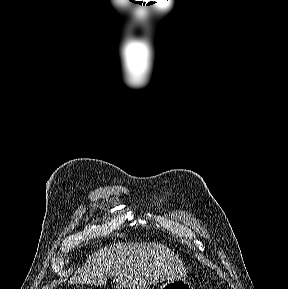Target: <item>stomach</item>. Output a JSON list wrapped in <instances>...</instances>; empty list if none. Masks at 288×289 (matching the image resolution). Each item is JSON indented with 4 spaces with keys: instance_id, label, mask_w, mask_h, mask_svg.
I'll use <instances>...</instances> for the list:
<instances>
[{
    "instance_id": "stomach-1",
    "label": "stomach",
    "mask_w": 288,
    "mask_h": 289,
    "mask_svg": "<svg viewBox=\"0 0 288 289\" xmlns=\"http://www.w3.org/2000/svg\"><path fill=\"white\" fill-rule=\"evenodd\" d=\"M145 289H151L146 287ZM160 289H193L192 285L185 279L168 280L160 286Z\"/></svg>"
}]
</instances>
